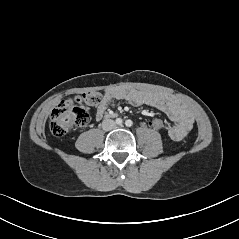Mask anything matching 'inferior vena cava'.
Here are the masks:
<instances>
[{
    "mask_svg": "<svg viewBox=\"0 0 239 239\" xmlns=\"http://www.w3.org/2000/svg\"><path fill=\"white\" fill-rule=\"evenodd\" d=\"M116 127V123L112 119H104L102 122V128L105 131H110Z\"/></svg>",
    "mask_w": 239,
    "mask_h": 239,
    "instance_id": "obj_1",
    "label": "inferior vena cava"
}]
</instances>
